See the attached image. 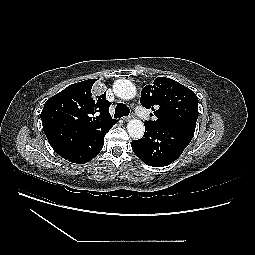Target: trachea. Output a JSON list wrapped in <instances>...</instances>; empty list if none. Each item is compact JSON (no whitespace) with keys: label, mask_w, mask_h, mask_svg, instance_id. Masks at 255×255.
Listing matches in <instances>:
<instances>
[{"label":"trachea","mask_w":255,"mask_h":255,"mask_svg":"<svg viewBox=\"0 0 255 255\" xmlns=\"http://www.w3.org/2000/svg\"><path fill=\"white\" fill-rule=\"evenodd\" d=\"M130 113V109L123 103H118L115 108V118H121L123 116H128Z\"/></svg>","instance_id":"1"}]
</instances>
